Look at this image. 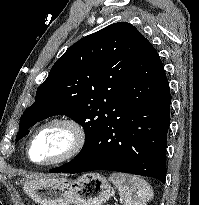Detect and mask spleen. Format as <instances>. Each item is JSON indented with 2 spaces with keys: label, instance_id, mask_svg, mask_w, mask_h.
Wrapping results in <instances>:
<instances>
[{
  "label": "spleen",
  "instance_id": "3e777b00",
  "mask_svg": "<svg viewBox=\"0 0 199 205\" xmlns=\"http://www.w3.org/2000/svg\"><path fill=\"white\" fill-rule=\"evenodd\" d=\"M108 179L118 188L124 205H146L153 198V190L143 178L125 173H112Z\"/></svg>",
  "mask_w": 199,
  "mask_h": 205
}]
</instances>
